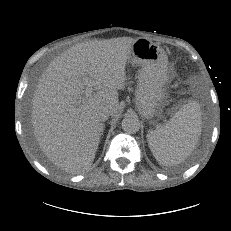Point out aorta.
Instances as JSON below:
<instances>
[{
  "label": "aorta",
  "instance_id": "762f6f07",
  "mask_svg": "<svg viewBox=\"0 0 231 231\" xmlns=\"http://www.w3.org/2000/svg\"><path fill=\"white\" fill-rule=\"evenodd\" d=\"M122 129L128 134H134L140 129V122L138 118L127 116L122 120Z\"/></svg>",
  "mask_w": 231,
  "mask_h": 231
}]
</instances>
